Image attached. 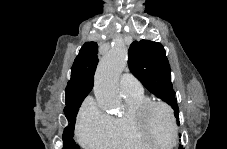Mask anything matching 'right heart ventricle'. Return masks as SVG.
<instances>
[{
  "mask_svg": "<svg viewBox=\"0 0 227 149\" xmlns=\"http://www.w3.org/2000/svg\"><path fill=\"white\" fill-rule=\"evenodd\" d=\"M127 103V111L123 115L111 118L110 136L108 146L117 149H150L137 134L132 114L148 98L142 93L124 95Z\"/></svg>",
  "mask_w": 227,
  "mask_h": 149,
  "instance_id": "e07e8e85",
  "label": "right heart ventricle"
}]
</instances>
